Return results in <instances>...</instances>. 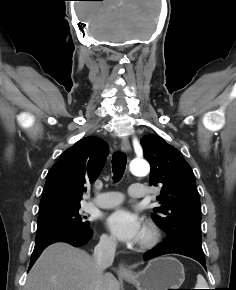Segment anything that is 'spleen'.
<instances>
[{"mask_svg":"<svg viewBox=\"0 0 236 290\" xmlns=\"http://www.w3.org/2000/svg\"><path fill=\"white\" fill-rule=\"evenodd\" d=\"M195 286H196V289H207V286H208L207 282L201 274L197 275V283Z\"/></svg>","mask_w":236,"mask_h":290,"instance_id":"1","label":"spleen"}]
</instances>
